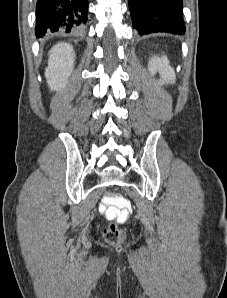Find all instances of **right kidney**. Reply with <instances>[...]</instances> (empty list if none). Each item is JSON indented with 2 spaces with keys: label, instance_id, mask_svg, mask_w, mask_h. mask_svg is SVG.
Listing matches in <instances>:
<instances>
[{
  "label": "right kidney",
  "instance_id": "obj_1",
  "mask_svg": "<svg viewBox=\"0 0 227 298\" xmlns=\"http://www.w3.org/2000/svg\"><path fill=\"white\" fill-rule=\"evenodd\" d=\"M74 61L72 45L61 42L51 48L45 77L52 91H59L66 86L74 68Z\"/></svg>",
  "mask_w": 227,
  "mask_h": 298
}]
</instances>
